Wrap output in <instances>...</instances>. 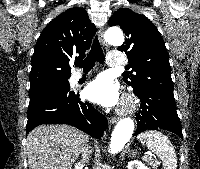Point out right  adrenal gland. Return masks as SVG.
I'll return each mask as SVG.
<instances>
[{
    "instance_id": "2a0ac1e0",
    "label": "right adrenal gland",
    "mask_w": 200,
    "mask_h": 169,
    "mask_svg": "<svg viewBox=\"0 0 200 169\" xmlns=\"http://www.w3.org/2000/svg\"><path fill=\"white\" fill-rule=\"evenodd\" d=\"M87 148L89 149L88 154L91 155V152H92L91 148L90 147H87Z\"/></svg>"
}]
</instances>
